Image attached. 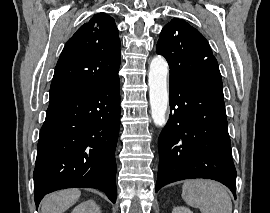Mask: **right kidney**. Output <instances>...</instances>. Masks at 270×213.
<instances>
[{
	"instance_id": "obj_1",
	"label": "right kidney",
	"mask_w": 270,
	"mask_h": 213,
	"mask_svg": "<svg viewBox=\"0 0 270 213\" xmlns=\"http://www.w3.org/2000/svg\"><path fill=\"white\" fill-rule=\"evenodd\" d=\"M71 213H101V210L94 200H87L77 205Z\"/></svg>"
}]
</instances>
